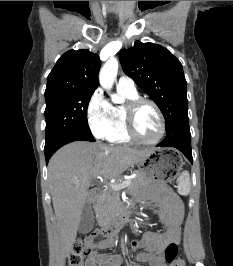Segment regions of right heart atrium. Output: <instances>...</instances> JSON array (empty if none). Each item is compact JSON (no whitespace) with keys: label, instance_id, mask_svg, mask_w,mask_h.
Instances as JSON below:
<instances>
[{"label":"right heart atrium","instance_id":"right-heart-atrium-1","mask_svg":"<svg viewBox=\"0 0 233 266\" xmlns=\"http://www.w3.org/2000/svg\"><path fill=\"white\" fill-rule=\"evenodd\" d=\"M86 116L92 134L97 138H107L115 128L112 105L97 89L89 99Z\"/></svg>","mask_w":233,"mask_h":266}]
</instances>
